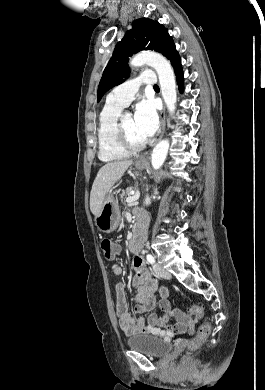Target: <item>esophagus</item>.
<instances>
[{"label":"esophagus","instance_id":"1","mask_svg":"<svg viewBox=\"0 0 265 390\" xmlns=\"http://www.w3.org/2000/svg\"><path fill=\"white\" fill-rule=\"evenodd\" d=\"M165 125H166V122H165V105H164L163 110L161 112V133L159 136V140L163 137V134L165 131ZM147 158H148V156L145 155L139 159V162H146Z\"/></svg>","mask_w":265,"mask_h":390}]
</instances>
